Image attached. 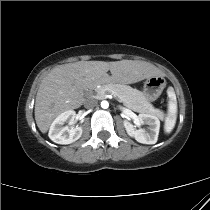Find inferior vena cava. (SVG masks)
<instances>
[{
    "mask_svg": "<svg viewBox=\"0 0 210 210\" xmlns=\"http://www.w3.org/2000/svg\"><path fill=\"white\" fill-rule=\"evenodd\" d=\"M98 104V101L96 99H88L86 102H85V107L86 108H93L95 106H97Z\"/></svg>",
    "mask_w": 210,
    "mask_h": 210,
    "instance_id": "obj_1",
    "label": "inferior vena cava"
}]
</instances>
